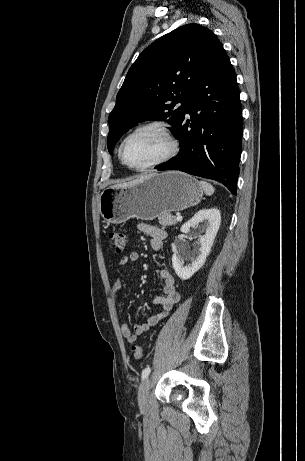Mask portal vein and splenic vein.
Wrapping results in <instances>:
<instances>
[{"label":"portal vein and splenic vein","instance_id":"portal-vein-and-splenic-vein-1","mask_svg":"<svg viewBox=\"0 0 305 461\" xmlns=\"http://www.w3.org/2000/svg\"><path fill=\"white\" fill-rule=\"evenodd\" d=\"M176 220L177 221H182V216L180 214H178L177 217H176Z\"/></svg>","mask_w":305,"mask_h":461}]
</instances>
